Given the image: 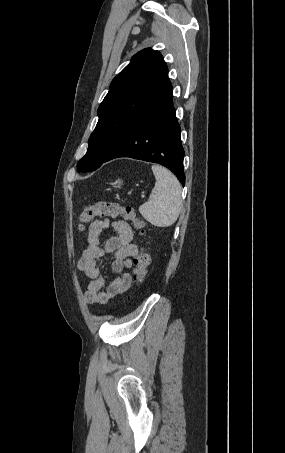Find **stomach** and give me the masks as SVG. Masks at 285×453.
<instances>
[{
	"label": "stomach",
	"mask_w": 285,
	"mask_h": 453,
	"mask_svg": "<svg viewBox=\"0 0 285 453\" xmlns=\"http://www.w3.org/2000/svg\"><path fill=\"white\" fill-rule=\"evenodd\" d=\"M122 183H123L122 180L118 179V180H116L114 183H112V185H113L114 187L120 188L121 185H122Z\"/></svg>",
	"instance_id": "obj_1"
}]
</instances>
